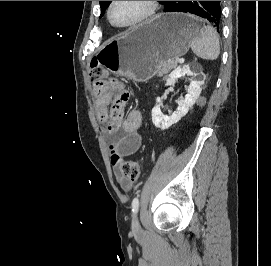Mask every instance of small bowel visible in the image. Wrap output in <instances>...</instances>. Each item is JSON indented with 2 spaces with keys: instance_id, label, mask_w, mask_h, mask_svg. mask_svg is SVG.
Wrapping results in <instances>:
<instances>
[{
  "instance_id": "c3829d8e",
  "label": "small bowel",
  "mask_w": 271,
  "mask_h": 266,
  "mask_svg": "<svg viewBox=\"0 0 271 266\" xmlns=\"http://www.w3.org/2000/svg\"><path fill=\"white\" fill-rule=\"evenodd\" d=\"M95 110L97 118L105 124V132L109 137H115L119 131L124 133L122 140L116 143L118 153L125 155L135 152L141 143L139 129L142 123V114L133 109L125 114L128 99L114 94L112 90H100L94 87ZM116 178L124 190L132 187V181L123 178L117 167L114 166Z\"/></svg>"
}]
</instances>
